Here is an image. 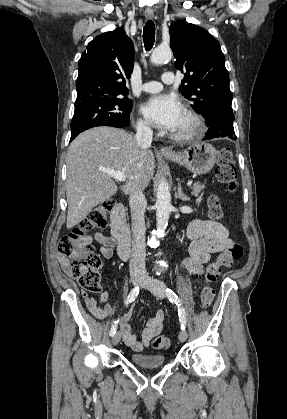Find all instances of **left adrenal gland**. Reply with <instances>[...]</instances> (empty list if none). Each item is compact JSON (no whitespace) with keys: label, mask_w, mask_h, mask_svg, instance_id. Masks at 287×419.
<instances>
[{"label":"left adrenal gland","mask_w":287,"mask_h":419,"mask_svg":"<svg viewBox=\"0 0 287 419\" xmlns=\"http://www.w3.org/2000/svg\"><path fill=\"white\" fill-rule=\"evenodd\" d=\"M175 198H179L182 201H190V198L182 192L181 182L178 183V192L175 194Z\"/></svg>","instance_id":"1"}]
</instances>
